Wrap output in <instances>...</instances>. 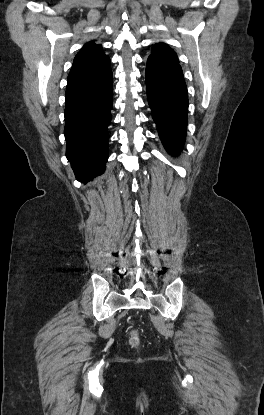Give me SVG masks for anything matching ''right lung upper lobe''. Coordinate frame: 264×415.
<instances>
[{
  "label": "right lung upper lobe",
  "instance_id": "cb5924a9",
  "mask_svg": "<svg viewBox=\"0 0 264 415\" xmlns=\"http://www.w3.org/2000/svg\"><path fill=\"white\" fill-rule=\"evenodd\" d=\"M110 70V59L103 52L101 45L90 41L75 56L67 82L92 79Z\"/></svg>",
  "mask_w": 264,
  "mask_h": 415
}]
</instances>
